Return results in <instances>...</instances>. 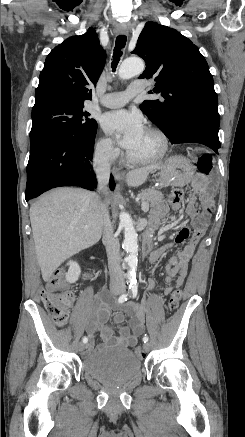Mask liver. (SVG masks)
<instances>
[{
    "label": "liver",
    "mask_w": 245,
    "mask_h": 437,
    "mask_svg": "<svg viewBox=\"0 0 245 437\" xmlns=\"http://www.w3.org/2000/svg\"><path fill=\"white\" fill-rule=\"evenodd\" d=\"M156 166L130 171L128 186H140ZM109 199L108 191L104 194ZM100 197L79 188H58L30 207L38 264L44 281L70 256L93 246L103 231Z\"/></svg>",
    "instance_id": "1"
}]
</instances>
